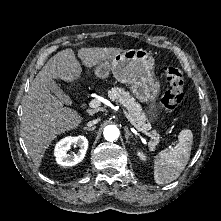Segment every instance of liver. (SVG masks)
Masks as SVG:
<instances>
[{
	"mask_svg": "<svg viewBox=\"0 0 221 221\" xmlns=\"http://www.w3.org/2000/svg\"><path fill=\"white\" fill-rule=\"evenodd\" d=\"M120 48H81L78 58L87 68L113 58ZM82 68L72 49H65L48 60L30 85L23 106L21 133L28 153L38 168L49 144L60 134L77 128L83 117L64 107L47 87L48 81L62 79L72 82L80 78Z\"/></svg>",
	"mask_w": 221,
	"mask_h": 221,
	"instance_id": "liver-1",
	"label": "liver"
}]
</instances>
